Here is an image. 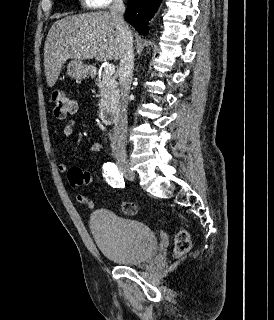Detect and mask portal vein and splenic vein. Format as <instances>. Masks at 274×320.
I'll use <instances>...</instances> for the list:
<instances>
[{
  "label": "portal vein and splenic vein",
  "instance_id": "18ae733b",
  "mask_svg": "<svg viewBox=\"0 0 274 320\" xmlns=\"http://www.w3.org/2000/svg\"><path fill=\"white\" fill-rule=\"evenodd\" d=\"M104 74L113 76V74H115V66H113V64H107L106 68H104Z\"/></svg>",
  "mask_w": 274,
  "mask_h": 320
}]
</instances>
